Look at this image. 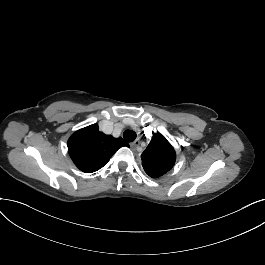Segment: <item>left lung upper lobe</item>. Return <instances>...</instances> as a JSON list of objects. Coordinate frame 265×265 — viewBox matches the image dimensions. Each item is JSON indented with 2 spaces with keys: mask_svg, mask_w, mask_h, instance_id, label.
Wrapping results in <instances>:
<instances>
[{
  "mask_svg": "<svg viewBox=\"0 0 265 265\" xmlns=\"http://www.w3.org/2000/svg\"><path fill=\"white\" fill-rule=\"evenodd\" d=\"M141 159L145 172L152 178H158L174 166L176 153L167 139L156 133L143 151Z\"/></svg>",
  "mask_w": 265,
  "mask_h": 265,
  "instance_id": "1",
  "label": "left lung upper lobe"
}]
</instances>
